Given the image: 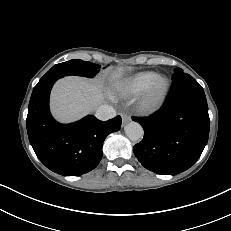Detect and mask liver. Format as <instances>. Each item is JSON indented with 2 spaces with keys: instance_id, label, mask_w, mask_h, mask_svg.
<instances>
[{
  "instance_id": "6515ba94",
  "label": "liver",
  "mask_w": 231,
  "mask_h": 231,
  "mask_svg": "<svg viewBox=\"0 0 231 231\" xmlns=\"http://www.w3.org/2000/svg\"><path fill=\"white\" fill-rule=\"evenodd\" d=\"M122 73L123 69L118 68L113 78L119 79ZM104 98L102 86L97 81L69 76L55 84L51 93V111L57 120L71 122L95 110Z\"/></svg>"
}]
</instances>
